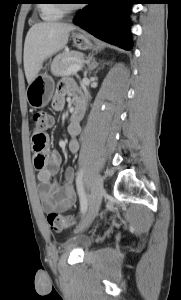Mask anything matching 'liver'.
I'll return each instance as SVG.
<instances>
[{
  "label": "liver",
  "instance_id": "1",
  "mask_svg": "<svg viewBox=\"0 0 181 300\" xmlns=\"http://www.w3.org/2000/svg\"><path fill=\"white\" fill-rule=\"evenodd\" d=\"M76 27L66 23L43 22L33 25L24 43V70L28 84L38 75L42 63L64 48Z\"/></svg>",
  "mask_w": 181,
  "mask_h": 300
}]
</instances>
